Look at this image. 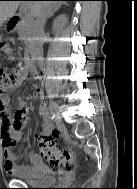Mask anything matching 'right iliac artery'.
Returning a JSON list of instances; mask_svg holds the SVG:
<instances>
[{"instance_id":"82829eb1","label":"right iliac artery","mask_w":137,"mask_h":189,"mask_svg":"<svg viewBox=\"0 0 137 189\" xmlns=\"http://www.w3.org/2000/svg\"><path fill=\"white\" fill-rule=\"evenodd\" d=\"M39 112L44 117L53 118L51 112L45 106H40Z\"/></svg>"}]
</instances>
